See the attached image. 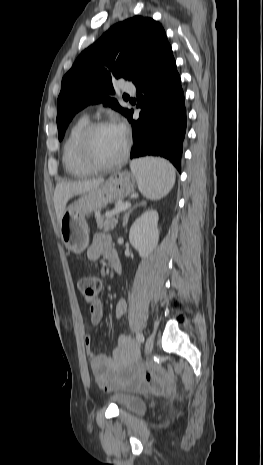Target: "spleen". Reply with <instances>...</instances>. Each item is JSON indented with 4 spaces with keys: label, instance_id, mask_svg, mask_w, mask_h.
I'll return each mask as SVG.
<instances>
[{
    "label": "spleen",
    "instance_id": "spleen-1",
    "mask_svg": "<svg viewBox=\"0 0 263 465\" xmlns=\"http://www.w3.org/2000/svg\"><path fill=\"white\" fill-rule=\"evenodd\" d=\"M139 191L150 200L166 196L175 183V170L165 159L144 157L130 163Z\"/></svg>",
    "mask_w": 263,
    "mask_h": 465
}]
</instances>
